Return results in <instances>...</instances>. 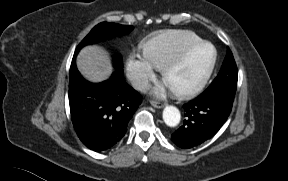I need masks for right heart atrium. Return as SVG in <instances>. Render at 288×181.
<instances>
[{"instance_id":"obj_1","label":"right heart atrium","mask_w":288,"mask_h":181,"mask_svg":"<svg viewBox=\"0 0 288 181\" xmlns=\"http://www.w3.org/2000/svg\"><path fill=\"white\" fill-rule=\"evenodd\" d=\"M157 69L155 64L144 53L133 51L127 56L126 73L138 90H145L148 87Z\"/></svg>"}]
</instances>
